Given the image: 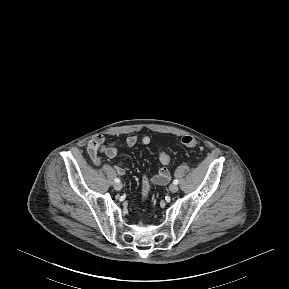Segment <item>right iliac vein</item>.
<instances>
[{
  "mask_svg": "<svg viewBox=\"0 0 289 289\" xmlns=\"http://www.w3.org/2000/svg\"><path fill=\"white\" fill-rule=\"evenodd\" d=\"M114 189L117 191H120L122 189V184L121 183H115L114 184Z\"/></svg>",
  "mask_w": 289,
  "mask_h": 289,
  "instance_id": "right-iliac-vein-1",
  "label": "right iliac vein"
}]
</instances>
